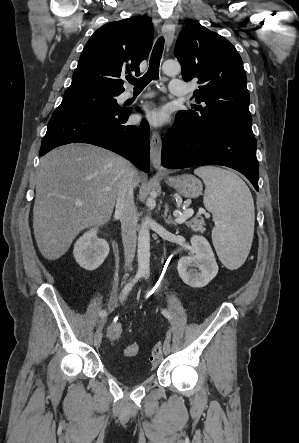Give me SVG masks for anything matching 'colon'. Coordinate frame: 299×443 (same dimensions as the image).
<instances>
[{
  "label": "colon",
  "mask_w": 299,
  "mask_h": 443,
  "mask_svg": "<svg viewBox=\"0 0 299 443\" xmlns=\"http://www.w3.org/2000/svg\"><path fill=\"white\" fill-rule=\"evenodd\" d=\"M123 334V326L119 321H113L106 330V336L110 340H118L122 337ZM139 352V344L137 342H133L128 344L124 349L125 356L133 357L137 355ZM163 359L162 346L160 343H157L152 351L150 360L153 365H158Z\"/></svg>",
  "instance_id": "5ec220e1"
}]
</instances>
